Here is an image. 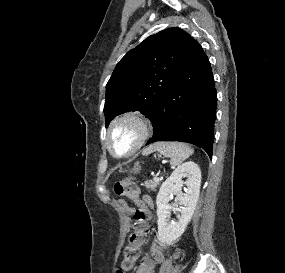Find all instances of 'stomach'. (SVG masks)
I'll return each mask as SVG.
<instances>
[{
	"mask_svg": "<svg viewBox=\"0 0 285 273\" xmlns=\"http://www.w3.org/2000/svg\"><path fill=\"white\" fill-rule=\"evenodd\" d=\"M139 170H140V167L139 166H135L131 172H134L136 174V173L139 172Z\"/></svg>",
	"mask_w": 285,
	"mask_h": 273,
	"instance_id": "stomach-1",
	"label": "stomach"
}]
</instances>
